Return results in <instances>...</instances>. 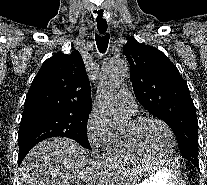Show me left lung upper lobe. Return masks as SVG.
Returning <instances> with one entry per match:
<instances>
[{
  "label": "left lung upper lobe",
  "instance_id": "5c2ea615",
  "mask_svg": "<svg viewBox=\"0 0 207 185\" xmlns=\"http://www.w3.org/2000/svg\"><path fill=\"white\" fill-rule=\"evenodd\" d=\"M123 52L140 104L175 133L181 155L198 156V120L189 88L177 67L155 47L130 37Z\"/></svg>",
  "mask_w": 207,
  "mask_h": 185
}]
</instances>
